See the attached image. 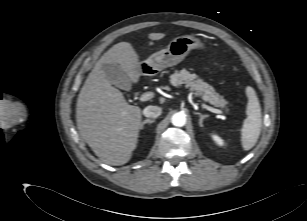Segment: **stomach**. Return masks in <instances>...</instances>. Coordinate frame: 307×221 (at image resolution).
Masks as SVG:
<instances>
[{
    "label": "stomach",
    "instance_id": "1",
    "mask_svg": "<svg viewBox=\"0 0 307 221\" xmlns=\"http://www.w3.org/2000/svg\"><path fill=\"white\" fill-rule=\"evenodd\" d=\"M204 44L193 35H182L174 38L165 49L152 54L140 63L141 68H150L154 73L180 63L191 50L203 49Z\"/></svg>",
    "mask_w": 307,
    "mask_h": 221
}]
</instances>
